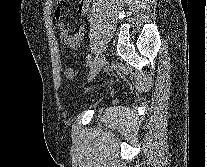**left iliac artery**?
Returning a JSON list of instances; mask_svg holds the SVG:
<instances>
[{
  "mask_svg": "<svg viewBox=\"0 0 207 167\" xmlns=\"http://www.w3.org/2000/svg\"><path fill=\"white\" fill-rule=\"evenodd\" d=\"M91 62H92V55L89 54V55L87 56V65H90Z\"/></svg>",
  "mask_w": 207,
  "mask_h": 167,
  "instance_id": "left-iliac-artery-1",
  "label": "left iliac artery"
}]
</instances>
